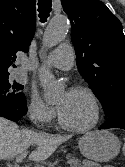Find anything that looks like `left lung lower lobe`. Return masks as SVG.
Wrapping results in <instances>:
<instances>
[{
	"label": "left lung lower lobe",
	"mask_w": 125,
	"mask_h": 167,
	"mask_svg": "<svg viewBox=\"0 0 125 167\" xmlns=\"http://www.w3.org/2000/svg\"><path fill=\"white\" fill-rule=\"evenodd\" d=\"M121 128L125 129V109H118L112 112L105 123L99 129Z\"/></svg>",
	"instance_id": "left-lung-lower-lobe-1"
}]
</instances>
